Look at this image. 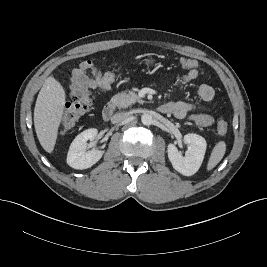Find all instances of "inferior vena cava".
<instances>
[{
	"instance_id": "obj_1",
	"label": "inferior vena cava",
	"mask_w": 267,
	"mask_h": 267,
	"mask_svg": "<svg viewBox=\"0 0 267 267\" xmlns=\"http://www.w3.org/2000/svg\"><path fill=\"white\" fill-rule=\"evenodd\" d=\"M128 118V114L125 112L114 114L111 118L112 123H120Z\"/></svg>"
}]
</instances>
